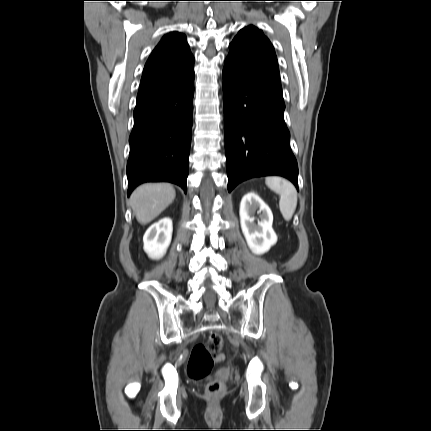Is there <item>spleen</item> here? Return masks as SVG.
I'll return each instance as SVG.
<instances>
[{"mask_svg": "<svg viewBox=\"0 0 431 431\" xmlns=\"http://www.w3.org/2000/svg\"><path fill=\"white\" fill-rule=\"evenodd\" d=\"M266 185L280 195L279 208L283 218L289 221L297 206V191L294 185L280 177H267Z\"/></svg>", "mask_w": 431, "mask_h": 431, "instance_id": "1", "label": "spleen"}]
</instances>
